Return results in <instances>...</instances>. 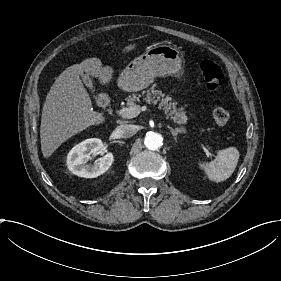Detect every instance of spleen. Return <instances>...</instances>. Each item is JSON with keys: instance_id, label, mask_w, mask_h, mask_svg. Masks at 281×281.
Masks as SVG:
<instances>
[{"instance_id": "3e777b00", "label": "spleen", "mask_w": 281, "mask_h": 281, "mask_svg": "<svg viewBox=\"0 0 281 281\" xmlns=\"http://www.w3.org/2000/svg\"><path fill=\"white\" fill-rule=\"evenodd\" d=\"M238 156L239 154L234 148L220 151L209 166L210 178L216 182L229 178L236 167Z\"/></svg>"}]
</instances>
